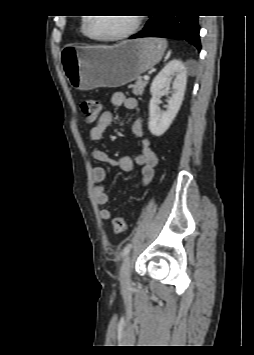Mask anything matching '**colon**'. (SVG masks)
<instances>
[{"label": "colon", "instance_id": "obj_1", "mask_svg": "<svg viewBox=\"0 0 254 355\" xmlns=\"http://www.w3.org/2000/svg\"><path fill=\"white\" fill-rule=\"evenodd\" d=\"M81 110L85 115L88 122H94L100 115V103L93 99H84L80 103ZM113 230L115 233L120 234L126 231L127 223L125 218L121 216L114 217L112 221Z\"/></svg>", "mask_w": 254, "mask_h": 355}]
</instances>
